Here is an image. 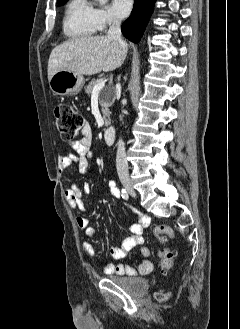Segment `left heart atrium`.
<instances>
[{"mask_svg":"<svg viewBox=\"0 0 240 329\" xmlns=\"http://www.w3.org/2000/svg\"><path fill=\"white\" fill-rule=\"evenodd\" d=\"M133 6V0H113L112 1V11L113 13L119 17H126Z\"/></svg>","mask_w":240,"mask_h":329,"instance_id":"39dd6f15","label":"left heart atrium"}]
</instances>
